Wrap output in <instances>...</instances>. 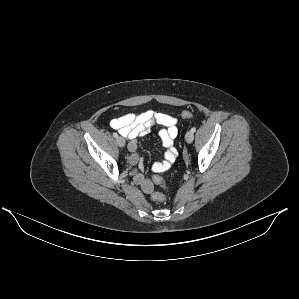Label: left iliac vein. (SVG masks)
<instances>
[{"label":"left iliac vein","instance_id":"obj_1","mask_svg":"<svg viewBox=\"0 0 299 299\" xmlns=\"http://www.w3.org/2000/svg\"><path fill=\"white\" fill-rule=\"evenodd\" d=\"M194 139V134L192 131H188L185 135V140L187 143H191Z\"/></svg>","mask_w":299,"mask_h":299}]
</instances>
